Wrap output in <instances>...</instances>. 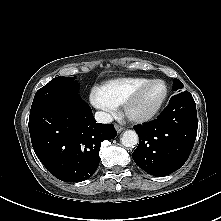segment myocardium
<instances>
[{
    "instance_id": "f54148a6",
    "label": "myocardium",
    "mask_w": 221,
    "mask_h": 221,
    "mask_svg": "<svg viewBox=\"0 0 221 221\" xmlns=\"http://www.w3.org/2000/svg\"><path fill=\"white\" fill-rule=\"evenodd\" d=\"M160 83L163 85L164 93L162 95V98L158 102V104L149 112L141 115H137L133 112L134 106L138 103L140 100L143 92L151 85ZM169 94V89L165 81L161 79H151L147 81L146 83L142 84L140 87H138L133 94L125 101L123 105V110L125 116L132 122L138 123V124H144L153 121L157 118V116L160 114L162 108L164 107L167 98Z\"/></svg>"
}]
</instances>
